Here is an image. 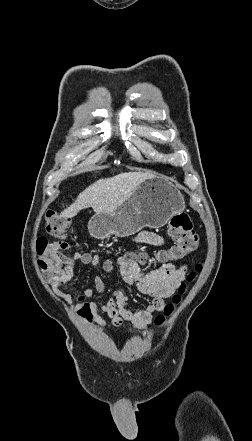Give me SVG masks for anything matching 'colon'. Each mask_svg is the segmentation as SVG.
<instances>
[{
	"mask_svg": "<svg viewBox=\"0 0 252 441\" xmlns=\"http://www.w3.org/2000/svg\"><path fill=\"white\" fill-rule=\"evenodd\" d=\"M70 227V221L52 212L47 217V231L56 236H64ZM168 235L174 242V246L169 252H161L158 254L159 260L184 258L198 247V236L193 229L190 218L186 214H177L173 216L168 225ZM62 242L49 241L41 239L36 244L38 254V264L46 277L51 282H59L65 276L62 268L64 256L60 252ZM134 256L128 257L133 260ZM143 260V257H140ZM197 270H201V266H197ZM195 278V273L188 275L187 281L191 282ZM187 285L184 283L179 288V293L173 297L172 303L168 304L164 309L165 315H170L177 304L181 301V295L186 291ZM165 320L163 315H159L155 319L157 325H161Z\"/></svg>",
	"mask_w": 252,
	"mask_h": 441,
	"instance_id": "5ec220e1",
	"label": "colon"
}]
</instances>
